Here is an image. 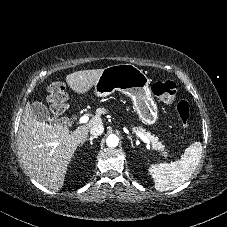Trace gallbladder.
Masks as SVG:
<instances>
[{
  "mask_svg": "<svg viewBox=\"0 0 227 227\" xmlns=\"http://www.w3.org/2000/svg\"><path fill=\"white\" fill-rule=\"evenodd\" d=\"M31 110H32L33 116L38 121L49 122V123L54 122L52 120V118L50 117V113H49L47 107L42 102H38V101L33 102L31 104ZM59 122L66 124L67 119L63 118Z\"/></svg>",
  "mask_w": 227,
  "mask_h": 227,
  "instance_id": "1",
  "label": "gallbladder"
}]
</instances>
